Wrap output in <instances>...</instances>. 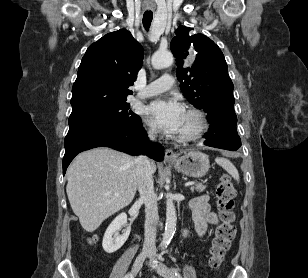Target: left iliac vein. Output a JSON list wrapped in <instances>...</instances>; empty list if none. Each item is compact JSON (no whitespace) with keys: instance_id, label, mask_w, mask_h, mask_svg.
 I'll return each mask as SVG.
<instances>
[{"instance_id":"obj_1","label":"left iliac vein","mask_w":308,"mask_h":278,"mask_svg":"<svg viewBox=\"0 0 308 278\" xmlns=\"http://www.w3.org/2000/svg\"><path fill=\"white\" fill-rule=\"evenodd\" d=\"M154 256L155 254L150 255L151 258ZM155 271L164 278H176V275L164 265L156 266Z\"/></svg>"}]
</instances>
